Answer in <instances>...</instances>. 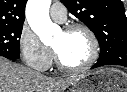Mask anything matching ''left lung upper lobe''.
Instances as JSON below:
<instances>
[{
    "instance_id": "obj_1",
    "label": "left lung upper lobe",
    "mask_w": 127,
    "mask_h": 92,
    "mask_svg": "<svg viewBox=\"0 0 127 92\" xmlns=\"http://www.w3.org/2000/svg\"><path fill=\"white\" fill-rule=\"evenodd\" d=\"M87 25L100 44V56L111 48L127 45V17L121 0H61Z\"/></svg>"
}]
</instances>
